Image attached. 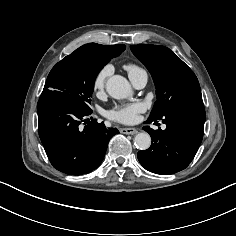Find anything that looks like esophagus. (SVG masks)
<instances>
[{
    "label": "esophagus",
    "instance_id": "1",
    "mask_svg": "<svg viewBox=\"0 0 236 236\" xmlns=\"http://www.w3.org/2000/svg\"><path fill=\"white\" fill-rule=\"evenodd\" d=\"M120 132L122 134H130V135H133L135 133H137V129L135 128H121L120 129Z\"/></svg>",
    "mask_w": 236,
    "mask_h": 236
}]
</instances>
